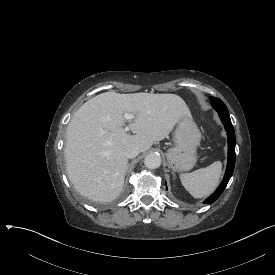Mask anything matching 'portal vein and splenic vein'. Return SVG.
I'll list each match as a JSON object with an SVG mask.
<instances>
[{"instance_id":"portal-vein-and-splenic-vein-1","label":"portal vein and splenic vein","mask_w":275,"mask_h":275,"mask_svg":"<svg viewBox=\"0 0 275 275\" xmlns=\"http://www.w3.org/2000/svg\"><path fill=\"white\" fill-rule=\"evenodd\" d=\"M135 116L133 114H129V113H124V118L126 120H128L129 122H131V120L134 118ZM126 132H128L130 130V127L129 126H126L125 129H124Z\"/></svg>"}]
</instances>
